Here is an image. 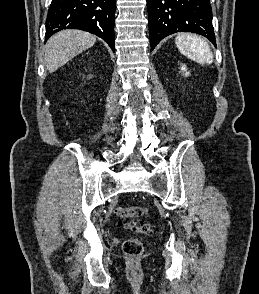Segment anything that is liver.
Masks as SVG:
<instances>
[{"instance_id": "6515ba94", "label": "liver", "mask_w": 259, "mask_h": 294, "mask_svg": "<svg viewBox=\"0 0 259 294\" xmlns=\"http://www.w3.org/2000/svg\"><path fill=\"white\" fill-rule=\"evenodd\" d=\"M96 37L88 32L69 29L54 34L46 44L44 62L53 73L78 54L94 45Z\"/></svg>"}]
</instances>
